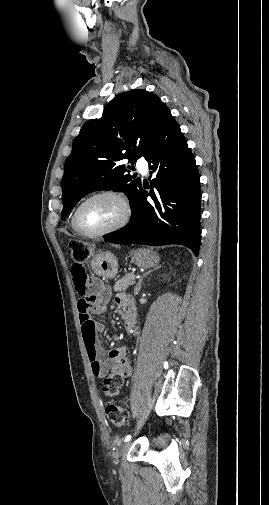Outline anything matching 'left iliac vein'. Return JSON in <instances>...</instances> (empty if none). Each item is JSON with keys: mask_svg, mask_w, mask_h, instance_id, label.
Segmentation results:
<instances>
[{"mask_svg": "<svg viewBox=\"0 0 269 505\" xmlns=\"http://www.w3.org/2000/svg\"><path fill=\"white\" fill-rule=\"evenodd\" d=\"M131 443L128 441L126 443H124L118 450V453L117 455L120 457V456H123L124 454L127 453L129 447H130Z\"/></svg>", "mask_w": 269, "mask_h": 505, "instance_id": "obj_1", "label": "left iliac vein"}]
</instances>
